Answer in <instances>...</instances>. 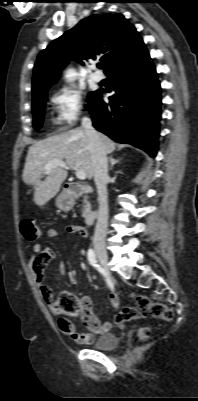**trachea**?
I'll use <instances>...</instances> for the list:
<instances>
[{
  "mask_svg": "<svg viewBox=\"0 0 198 401\" xmlns=\"http://www.w3.org/2000/svg\"><path fill=\"white\" fill-rule=\"evenodd\" d=\"M97 67H98L99 69H102L103 66H102V64H98Z\"/></svg>",
  "mask_w": 198,
  "mask_h": 401,
  "instance_id": "trachea-1",
  "label": "trachea"
}]
</instances>
